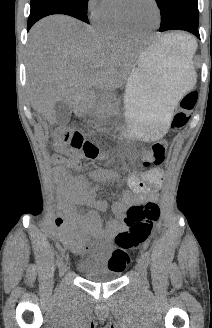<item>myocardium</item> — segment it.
<instances>
[{
    "instance_id": "1",
    "label": "myocardium",
    "mask_w": 212,
    "mask_h": 328,
    "mask_svg": "<svg viewBox=\"0 0 212 328\" xmlns=\"http://www.w3.org/2000/svg\"><path fill=\"white\" fill-rule=\"evenodd\" d=\"M151 3L153 4L156 13H157V22L153 27L147 28V29H139L134 27L128 20L124 9L122 7V0H119L118 2V6H117V12H118V16L120 18L121 23L123 24V26L130 32H132L133 34H146V33H150L153 30L157 29L161 23V18H162V14H161V9L160 6L158 4L157 0H151Z\"/></svg>"
}]
</instances>
